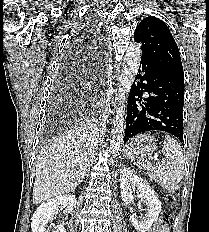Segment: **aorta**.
I'll return each instance as SVG.
<instances>
[{"label": "aorta", "mask_w": 209, "mask_h": 232, "mask_svg": "<svg viewBox=\"0 0 209 232\" xmlns=\"http://www.w3.org/2000/svg\"><path fill=\"white\" fill-rule=\"evenodd\" d=\"M141 46L137 43H132L125 55L122 71L119 76L118 104L116 106L114 120L112 122L111 134V153L113 155L112 163L118 156L121 144L124 139V114H125V103L126 96L131 88L136 74L138 72L140 61H141Z\"/></svg>", "instance_id": "1"}]
</instances>
